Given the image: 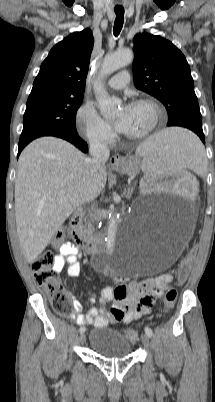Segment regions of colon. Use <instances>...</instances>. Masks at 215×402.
Wrapping results in <instances>:
<instances>
[{
    "label": "colon",
    "instance_id": "colon-1",
    "mask_svg": "<svg viewBox=\"0 0 215 402\" xmlns=\"http://www.w3.org/2000/svg\"><path fill=\"white\" fill-rule=\"evenodd\" d=\"M64 238V232L59 230L52 240V245L57 246ZM199 253L197 251H187L185 259L182 261L178 270V278L183 281L188 274L190 260H197ZM55 255L52 250H46L41 253L33 262L32 269L36 281L47 291L51 305L59 315H66L69 311V301L64 292L58 276L54 269ZM177 298V292L174 289H169L164 295V307L170 309ZM123 335L131 342L138 338L137 332L133 328H127L123 331Z\"/></svg>",
    "mask_w": 215,
    "mask_h": 402
}]
</instances>
